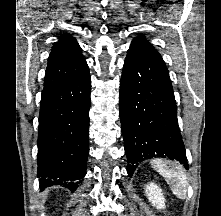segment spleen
I'll list each match as a JSON object with an SVG mask.
<instances>
[{
    "instance_id": "obj_1",
    "label": "spleen",
    "mask_w": 221,
    "mask_h": 216,
    "mask_svg": "<svg viewBox=\"0 0 221 216\" xmlns=\"http://www.w3.org/2000/svg\"><path fill=\"white\" fill-rule=\"evenodd\" d=\"M151 165L164 177L176 197L179 199L186 198L188 181L182 165L171 161L164 162L160 159L152 160Z\"/></svg>"
}]
</instances>
